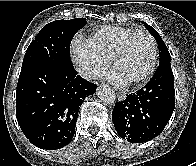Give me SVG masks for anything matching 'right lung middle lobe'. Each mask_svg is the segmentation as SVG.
Listing matches in <instances>:
<instances>
[{
	"label": "right lung middle lobe",
	"mask_w": 196,
	"mask_h": 166,
	"mask_svg": "<svg viewBox=\"0 0 196 166\" xmlns=\"http://www.w3.org/2000/svg\"><path fill=\"white\" fill-rule=\"evenodd\" d=\"M87 24L85 18L53 21L37 34L24 56L22 67L37 61H52L73 66L70 43L73 36Z\"/></svg>",
	"instance_id": "obj_1"
}]
</instances>
